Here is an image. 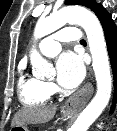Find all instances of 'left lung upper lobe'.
<instances>
[{
    "label": "left lung upper lobe",
    "instance_id": "5c2ea615",
    "mask_svg": "<svg viewBox=\"0 0 117 131\" xmlns=\"http://www.w3.org/2000/svg\"><path fill=\"white\" fill-rule=\"evenodd\" d=\"M66 5H82L90 8L95 14H97L103 7L96 4L94 0H65Z\"/></svg>",
    "mask_w": 117,
    "mask_h": 131
}]
</instances>
